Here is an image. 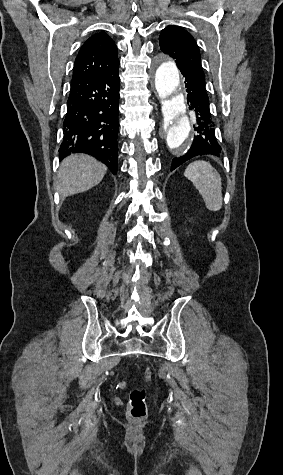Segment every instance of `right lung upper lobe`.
<instances>
[{
  "mask_svg": "<svg viewBox=\"0 0 283 475\" xmlns=\"http://www.w3.org/2000/svg\"><path fill=\"white\" fill-rule=\"evenodd\" d=\"M114 41L104 32L88 38L75 59L72 79L102 76L118 70Z\"/></svg>",
  "mask_w": 283,
  "mask_h": 475,
  "instance_id": "cb5924a9",
  "label": "right lung upper lobe"
}]
</instances>
